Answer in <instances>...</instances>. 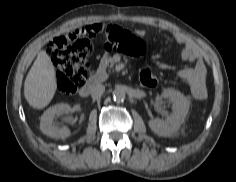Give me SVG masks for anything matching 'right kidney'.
<instances>
[{"label":"right kidney","instance_id":"obj_1","mask_svg":"<svg viewBox=\"0 0 236 182\" xmlns=\"http://www.w3.org/2000/svg\"><path fill=\"white\" fill-rule=\"evenodd\" d=\"M71 112V107L68 104H57L48 108L40 119V130L43 134L51 138H67L71 132L67 126L58 127L53 124L56 115H67Z\"/></svg>","mask_w":236,"mask_h":182}]
</instances>
